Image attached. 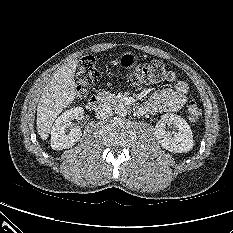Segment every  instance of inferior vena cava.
<instances>
[{
	"mask_svg": "<svg viewBox=\"0 0 233 233\" xmlns=\"http://www.w3.org/2000/svg\"><path fill=\"white\" fill-rule=\"evenodd\" d=\"M95 115L98 119H106L112 115V108L108 104H100L95 110Z\"/></svg>",
	"mask_w": 233,
	"mask_h": 233,
	"instance_id": "1",
	"label": "inferior vena cava"
}]
</instances>
